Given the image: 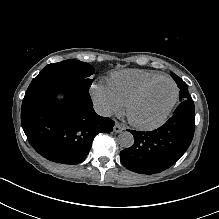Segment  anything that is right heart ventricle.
Wrapping results in <instances>:
<instances>
[{
	"instance_id": "1",
	"label": "right heart ventricle",
	"mask_w": 219,
	"mask_h": 219,
	"mask_svg": "<svg viewBox=\"0 0 219 219\" xmlns=\"http://www.w3.org/2000/svg\"><path fill=\"white\" fill-rule=\"evenodd\" d=\"M163 75L145 70L128 69L112 74L107 80L108 89L115 99L126 106L128 101L143 87Z\"/></svg>"
}]
</instances>
